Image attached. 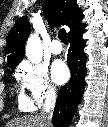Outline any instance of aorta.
<instances>
[{
  "instance_id": "obj_1",
  "label": "aorta",
  "mask_w": 108,
  "mask_h": 127,
  "mask_svg": "<svg viewBox=\"0 0 108 127\" xmlns=\"http://www.w3.org/2000/svg\"><path fill=\"white\" fill-rule=\"evenodd\" d=\"M26 56L32 63H39L43 56V47L40 38L33 34L31 35L26 43Z\"/></svg>"
}]
</instances>
